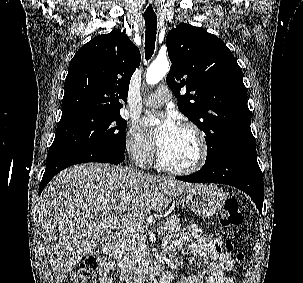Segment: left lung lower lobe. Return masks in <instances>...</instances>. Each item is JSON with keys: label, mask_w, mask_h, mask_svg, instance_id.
Returning a JSON list of instances; mask_svg holds the SVG:
<instances>
[{"label": "left lung lower lobe", "mask_w": 303, "mask_h": 283, "mask_svg": "<svg viewBox=\"0 0 303 283\" xmlns=\"http://www.w3.org/2000/svg\"><path fill=\"white\" fill-rule=\"evenodd\" d=\"M192 183H221L247 193L262 214L264 199L263 175L257 162L255 142H239L206 160L200 171L176 177Z\"/></svg>", "instance_id": "0a47b994"}]
</instances>
